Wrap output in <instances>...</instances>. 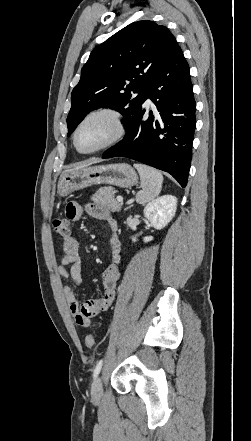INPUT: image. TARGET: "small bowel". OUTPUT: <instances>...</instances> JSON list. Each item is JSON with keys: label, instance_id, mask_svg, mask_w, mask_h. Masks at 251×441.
Segmentation results:
<instances>
[{"label": "small bowel", "instance_id": "obj_1", "mask_svg": "<svg viewBox=\"0 0 251 441\" xmlns=\"http://www.w3.org/2000/svg\"><path fill=\"white\" fill-rule=\"evenodd\" d=\"M85 214L106 222L112 236L110 245L112 249V262L101 276L103 295L97 299L86 300L79 303L76 297V288L82 280V259L80 256L79 242L71 237L63 243V256L57 267V272L65 281L63 295L67 301L71 315L76 323L82 327H88L91 320L98 314L106 311L114 301L117 282L120 277L119 263L121 243L117 234V223L109 211L99 205L83 206L78 202H70L66 207V215L73 221L80 220Z\"/></svg>", "mask_w": 251, "mask_h": 441}]
</instances>
